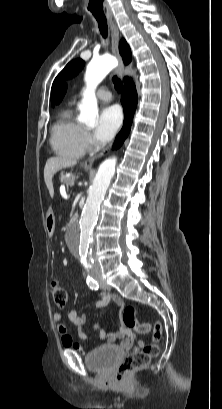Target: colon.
Instances as JSON below:
<instances>
[{
  "mask_svg": "<svg viewBox=\"0 0 222 409\" xmlns=\"http://www.w3.org/2000/svg\"><path fill=\"white\" fill-rule=\"evenodd\" d=\"M51 292L56 306L61 309L65 308L68 301L66 289L59 283L53 282ZM135 314L136 309L134 306H126L123 311V322L127 327L133 328L139 333H147L152 330L153 342L144 345L141 350L130 354L120 363L115 375L116 380L120 383L125 382L130 373L146 366L153 357L157 356L159 352L157 343L163 335V329L160 323H155L153 326L148 323H139L135 318ZM68 340V336L63 338V342Z\"/></svg>",
  "mask_w": 222,
  "mask_h": 409,
  "instance_id": "colon-1",
  "label": "colon"
}]
</instances>
